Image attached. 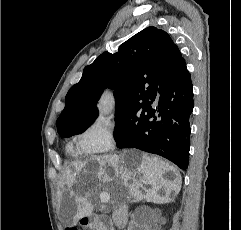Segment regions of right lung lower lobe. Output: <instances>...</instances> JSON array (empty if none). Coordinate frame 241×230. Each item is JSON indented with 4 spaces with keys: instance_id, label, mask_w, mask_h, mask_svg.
Returning a JSON list of instances; mask_svg holds the SVG:
<instances>
[{
    "instance_id": "1",
    "label": "right lung lower lobe",
    "mask_w": 241,
    "mask_h": 230,
    "mask_svg": "<svg viewBox=\"0 0 241 230\" xmlns=\"http://www.w3.org/2000/svg\"><path fill=\"white\" fill-rule=\"evenodd\" d=\"M193 96L190 73L183 60L163 77L149 100L146 123L117 146L158 154L187 169Z\"/></svg>"
}]
</instances>
